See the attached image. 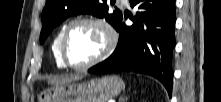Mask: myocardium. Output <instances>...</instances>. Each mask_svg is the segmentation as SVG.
I'll return each instance as SVG.
<instances>
[{
  "instance_id": "1",
  "label": "myocardium",
  "mask_w": 221,
  "mask_h": 102,
  "mask_svg": "<svg viewBox=\"0 0 221 102\" xmlns=\"http://www.w3.org/2000/svg\"><path fill=\"white\" fill-rule=\"evenodd\" d=\"M79 24H90L98 27L104 34L105 44L102 51L91 61L82 65H74L68 61L65 49H66L67 38L70 31L72 30V28H74ZM116 44H117L116 31L106 19L97 16H82L72 20L70 23L66 25L60 40V46H59L60 57L65 67H69L74 70H86L101 63L106 58H108L115 49Z\"/></svg>"
}]
</instances>
